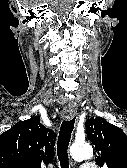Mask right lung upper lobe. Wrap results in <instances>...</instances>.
I'll return each instance as SVG.
<instances>
[{"instance_id":"1","label":"right lung upper lobe","mask_w":127,"mask_h":168,"mask_svg":"<svg viewBox=\"0 0 127 168\" xmlns=\"http://www.w3.org/2000/svg\"><path fill=\"white\" fill-rule=\"evenodd\" d=\"M56 134L40 117L16 123L0 135V168H42L54 157Z\"/></svg>"}]
</instances>
